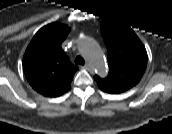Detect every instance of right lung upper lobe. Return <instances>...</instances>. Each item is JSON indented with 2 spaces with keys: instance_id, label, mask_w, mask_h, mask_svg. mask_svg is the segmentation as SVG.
Instances as JSON below:
<instances>
[{
  "instance_id": "right-lung-upper-lobe-1",
  "label": "right lung upper lobe",
  "mask_w": 172,
  "mask_h": 134,
  "mask_svg": "<svg viewBox=\"0 0 172 134\" xmlns=\"http://www.w3.org/2000/svg\"><path fill=\"white\" fill-rule=\"evenodd\" d=\"M70 28L51 23L41 28L28 45L23 70L34 90L48 97H58L70 89L77 66L71 64L61 48Z\"/></svg>"
}]
</instances>
